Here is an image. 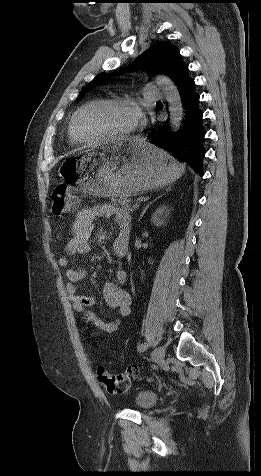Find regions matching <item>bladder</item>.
Listing matches in <instances>:
<instances>
[{
    "mask_svg": "<svg viewBox=\"0 0 261 476\" xmlns=\"http://www.w3.org/2000/svg\"><path fill=\"white\" fill-rule=\"evenodd\" d=\"M157 395L151 391L140 392L135 400L136 407L140 410H147L152 408L157 402Z\"/></svg>",
    "mask_w": 261,
    "mask_h": 476,
    "instance_id": "bladder-1",
    "label": "bladder"
}]
</instances>
